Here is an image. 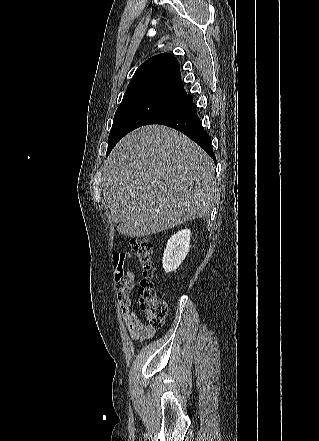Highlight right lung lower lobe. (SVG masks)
Masks as SVG:
<instances>
[{
    "label": "right lung lower lobe",
    "mask_w": 319,
    "mask_h": 441,
    "mask_svg": "<svg viewBox=\"0 0 319 441\" xmlns=\"http://www.w3.org/2000/svg\"><path fill=\"white\" fill-rule=\"evenodd\" d=\"M148 124H161L179 130L196 142L216 161L211 146V138L202 126L197 115L196 106L190 95L184 96L179 102L155 116Z\"/></svg>",
    "instance_id": "right-lung-lower-lobe-1"
}]
</instances>
